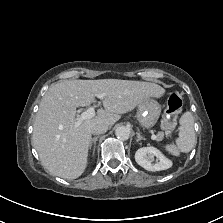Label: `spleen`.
Masks as SVG:
<instances>
[{
    "label": "spleen",
    "mask_w": 223,
    "mask_h": 223,
    "mask_svg": "<svg viewBox=\"0 0 223 223\" xmlns=\"http://www.w3.org/2000/svg\"><path fill=\"white\" fill-rule=\"evenodd\" d=\"M194 116L191 112H185L179 120V137L176 144H167L165 150L173 155L180 156V153H189L197 144V137L194 132Z\"/></svg>",
    "instance_id": "obj_1"
}]
</instances>
